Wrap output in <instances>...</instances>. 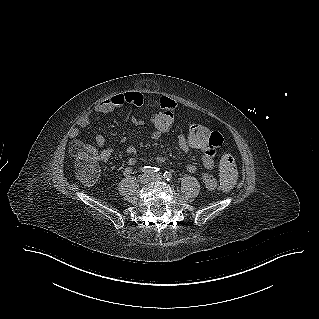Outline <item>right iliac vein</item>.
Wrapping results in <instances>:
<instances>
[{
    "mask_svg": "<svg viewBox=\"0 0 319 319\" xmlns=\"http://www.w3.org/2000/svg\"><path fill=\"white\" fill-rule=\"evenodd\" d=\"M138 180L141 184H147L151 180V178L148 174H141L138 177Z\"/></svg>",
    "mask_w": 319,
    "mask_h": 319,
    "instance_id": "right-iliac-vein-1",
    "label": "right iliac vein"
}]
</instances>
